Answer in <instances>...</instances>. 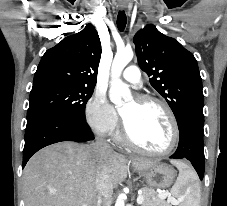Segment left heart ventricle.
Segmentation results:
<instances>
[{
    "label": "left heart ventricle",
    "instance_id": "b2bd125f",
    "mask_svg": "<svg viewBox=\"0 0 227 206\" xmlns=\"http://www.w3.org/2000/svg\"><path fill=\"white\" fill-rule=\"evenodd\" d=\"M122 117L132 138L142 147L161 151L172 140V127L165 111L154 104L131 100L122 108Z\"/></svg>",
    "mask_w": 227,
    "mask_h": 206
}]
</instances>
